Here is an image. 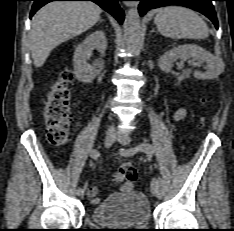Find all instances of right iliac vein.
Wrapping results in <instances>:
<instances>
[{
	"mask_svg": "<svg viewBox=\"0 0 234 231\" xmlns=\"http://www.w3.org/2000/svg\"><path fill=\"white\" fill-rule=\"evenodd\" d=\"M118 137V134L115 130L110 129L107 131L106 136H105V146L110 147ZM77 195L81 198L84 196V192H77Z\"/></svg>",
	"mask_w": 234,
	"mask_h": 231,
	"instance_id": "63e3f726",
	"label": "right iliac vein"
}]
</instances>
